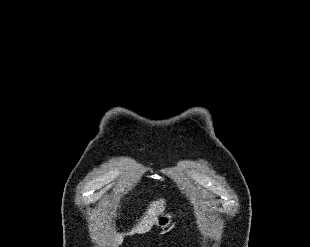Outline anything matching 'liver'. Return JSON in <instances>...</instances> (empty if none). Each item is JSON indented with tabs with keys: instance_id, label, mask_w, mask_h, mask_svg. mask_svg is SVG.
I'll list each match as a JSON object with an SVG mask.
<instances>
[{
	"instance_id": "1",
	"label": "liver",
	"mask_w": 310,
	"mask_h": 247,
	"mask_svg": "<svg viewBox=\"0 0 310 247\" xmlns=\"http://www.w3.org/2000/svg\"><path fill=\"white\" fill-rule=\"evenodd\" d=\"M165 200L159 199L153 201L148 207L145 215L141 218V221L134 227L128 234L132 235L135 233H145L150 230L151 226L154 224L156 216L164 209ZM123 234H117L115 237L114 247H117L123 242Z\"/></svg>"
}]
</instances>
